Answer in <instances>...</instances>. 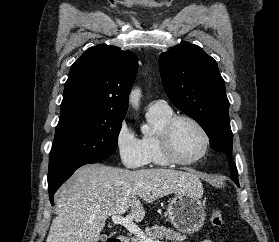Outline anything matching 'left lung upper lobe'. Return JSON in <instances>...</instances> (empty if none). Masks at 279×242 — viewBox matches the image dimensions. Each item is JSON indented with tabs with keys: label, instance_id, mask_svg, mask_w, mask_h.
I'll list each match as a JSON object with an SVG mask.
<instances>
[{
	"label": "left lung upper lobe",
	"instance_id": "left-lung-upper-lobe-1",
	"mask_svg": "<svg viewBox=\"0 0 279 242\" xmlns=\"http://www.w3.org/2000/svg\"><path fill=\"white\" fill-rule=\"evenodd\" d=\"M159 66L171 102L202 126L213 150L231 156L229 101L216 61L199 46L181 44L161 53ZM229 167L239 186L235 163L230 161Z\"/></svg>",
	"mask_w": 279,
	"mask_h": 242
}]
</instances>
